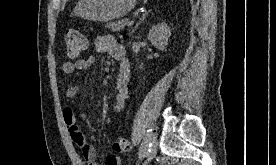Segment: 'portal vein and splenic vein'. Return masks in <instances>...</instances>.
Listing matches in <instances>:
<instances>
[{"mask_svg":"<svg viewBox=\"0 0 276 165\" xmlns=\"http://www.w3.org/2000/svg\"><path fill=\"white\" fill-rule=\"evenodd\" d=\"M127 24L131 26L133 24V21H128Z\"/></svg>","mask_w":276,"mask_h":165,"instance_id":"obj_1","label":"portal vein and splenic vein"}]
</instances>
